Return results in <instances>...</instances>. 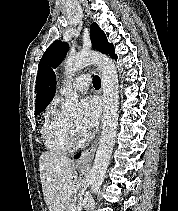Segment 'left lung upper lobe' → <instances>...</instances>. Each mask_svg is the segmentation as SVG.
Masks as SVG:
<instances>
[{"label":"left lung upper lobe","instance_id":"obj_1","mask_svg":"<svg viewBox=\"0 0 178 211\" xmlns=\"http://www.w3.org/2000/svg\"><path fill=\"white\" fill-rule=\"evenodd\" d=\"M90 34L94 49L102 53L109 54L111 58L117 59L114 46L108 42L106 35L96 23H93L90 26ZM67 50H68L67 43L59 40L53 42L45 51L39 62L37 80L44 72V70L47 68V65L56 68L57 65L61 63V61L65 57Z\"/></svg>","mask_w":178,"mask_h":211}]
</instances>
